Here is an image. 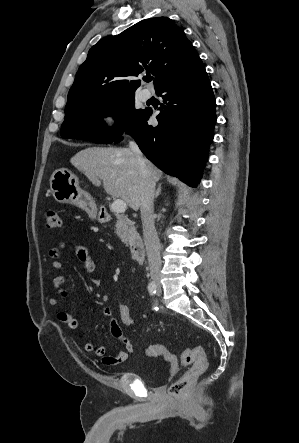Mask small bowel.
Listing matches in <instances>:
<instances>
[{"instance_id": "small-bowel-1", "label": "small bowel", "mask_w": 299, "mask_h": 443, "mask_svg": "<svg viewBox=\"0 0 299 443\" xmlns=\"http://www.w3.org/2000/svg\"><path fill=\"white\" fill-rule=\"evenodd\" d=\"M65 243L61 242L57 246L52 247L49 250V257L53 260L51 264V272L54 274L53 287L57 291L58 296H52L49 298V304L57 309V319L64 323L69 329L76 330L79 327V322L75 316L62 310L60 308L59 297H66L68 292L64 289L63 285L65 278L60 274L61 263L59 261ZM70 247L75 251L76 257L82 263L85 270L89 273L96 270V264L92 260L88 249L79 244L76 241L70 243ZM91 283L94 285L99 284V280L96 278H90ZM105 316L109 319L111 334L118 340H120L125 347V350L118 351L115 355H107L103 346H96L90 341L83 342V349L87 353L93 354L100 358L101 362L107 366L119 365L127 360L129 354L134 352V346L132 342L124 336L123 330L119 325L112 310L108 307L102 309Z\"/></svg>"}]
</instances>
